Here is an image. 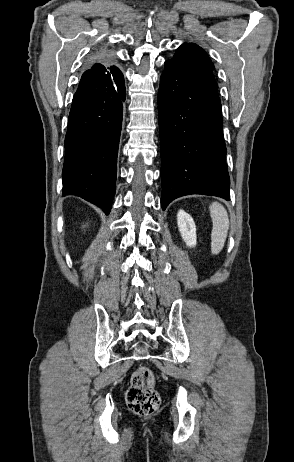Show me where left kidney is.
<instances>
[{
  "instance_id": "1",
  "label": "left kidney",
  "mask_w": 294,
  "mask_h": 462,
  "mask_svg": "<svg viewBox=\"0 0 294 462\" xmlns=\"http://www.w3.org/2000/svg\"><path fill=\"white\" fill-rule=\"evenodd\" d=\"M177 224L182 239L189 247L196 245V226L193 218L184 210H179L177 214Z\"/></svg>"
}]
</instances>
